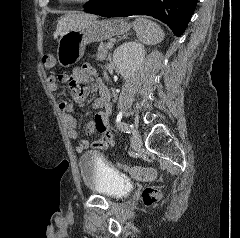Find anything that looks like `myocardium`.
I'll list each match as a JSON object with an SVG mask.
<instances>
[{
    "mask_svg": "<svg viewBox=\"0 0 240 238\" xmlns=\"http://www.w3.org/2000/svg\"><path fill=\"white\" fill-rule=\"evenodd\" d=\"M61 1L70 2V3H88L93 0H61Z\"/></svg>",
    "mask_w": 240,
    "mask_h": 238,
    "instance_id": "f54148a6",
    "label": "myocardium"
}]
</instances>
